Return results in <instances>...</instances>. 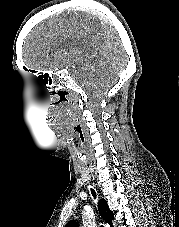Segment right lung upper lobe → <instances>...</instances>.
Segmentation results:
<instances>
[{"instance_id": "1", "label": "right lung upper lobe", "mask_w": 179, "mask_h": 227, "mask_svg": "<svg viewBox=\"0 0 179 227\" xmlns=\"http://www.w3.org/2000/svg\"><path fill=\"white\" fill-rule=\"evenodd\" d=\"M98 209L100 212L101 217L111 225L114 214L113 212L109 209L107 202L102 199L99 201ZM65 227H78L77 223L75 221H69ZM112 227V225H111Z\"/></svg>"}]
</instances>
